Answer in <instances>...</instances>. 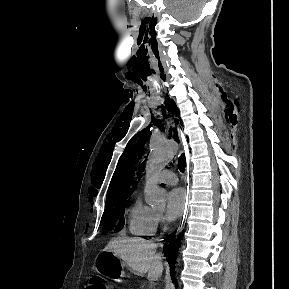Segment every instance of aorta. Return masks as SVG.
<instances>
[{"label": "aorta", "mask_w": 289, "mask_h": 289, "mask_svg": "<svg viewBox=\"0 0 289 289\" xmlns=\"http://www.w3.org/2000/svg\"><path fill=\"white\" fill-rule=\"evenodd\" d=\"M178 145L174 140L156 138L151 142L150 153L146 163V172L149 179L162 170L177 154ZM145 199L151 206H163L166 193L158 185L147 182L145 186Z\"/></svg>", "instance_id": "obj_1"}]
</instances>
